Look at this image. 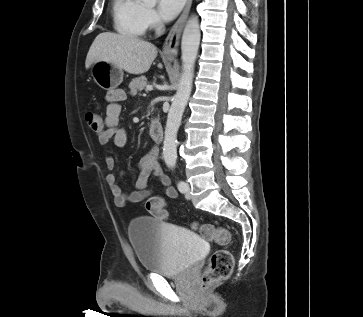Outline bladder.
Segmentation results:
<instances>
[{"label": "bladder", "mask_w": 363, "mask_h": 317, "mask_svg": "<svg viewBox=\"0 0 363 317\" xmlns=\"http://www.w3.org/2000/svg\"><path fill=\"white\" fill-rule=\"evenodd\" d=\"M131 238L143 270L163 276L181 274L207 253V241L199 233L141 217L130 222Z\"/></svg>", "instance_id": "31cf9c89"}]
</instances>
